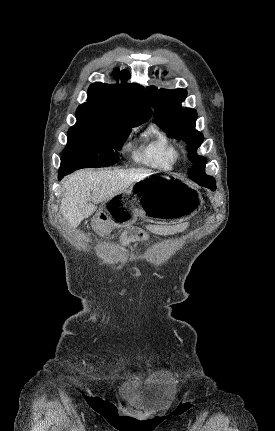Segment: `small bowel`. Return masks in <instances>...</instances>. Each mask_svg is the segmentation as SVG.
Returning a JSON list of instances; mask_svg holds the SVG:
<instances>
[{"label":"small bowel","mask_w":275,"mask_h":431,"mask_svg":"<svg viewBox=\"0 0 275 431\" xmlns=\"http://www.w3.org/2000/svg\"><path fill=\"white\" fill-rule=\"evenodd\" d=\"M187 227L186 223H180L176 225H161V226H149V230L158 235H173L184 231ZM147 235L142 230L132 228L125 232L121 238L123 245H127L130 242L145 240Z\"/></svg>","instance_id":"c3829d8e"}]
</instances>
